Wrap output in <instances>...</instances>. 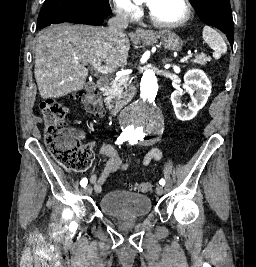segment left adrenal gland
<instances>
[{"label": "left adrenal gland", "mask_w": 256, "mask_h": 267, "mask_svg": "<svg viewBox=\"0 0 256 267\" xmlns=\"http://www.w3.org/2000/svg\"><path fill=\"white\" fill-rule=\"evenodd\" d=\"M167 62H171V60H168V58H167Z\"/></svg>", "instance_id": "left-adrenal-gland-1"}]
</instances>
